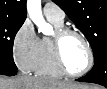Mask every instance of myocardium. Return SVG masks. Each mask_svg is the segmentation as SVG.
<instances>
[{
  "mask_svg": "<svg viewBox=\"0 0 107 89\" xmlns=\"http://www.w3.org/2000/svg\"><path fill=\"white\" fill-rule=\"evenodd\" d=\"M70 35L79 37L84 43L88 52V63L86 67L82 71L76 72V73L70 72L68 70L62 55V44L64 40ZM52 48H53V55H54L55 62L65 76L73 77V78L80 77L85 75L87 72H89L93 67L94 53H93L91 44L89 40L86 38V36L82 32L76 29L69 28V27H62L60 29H57L52 37Z\"/></svg>",
  "mask_w": 107,
  "mask_h": 89,
  "instance_id": "1",
  "label": "myocardium"
}]
</instances>
